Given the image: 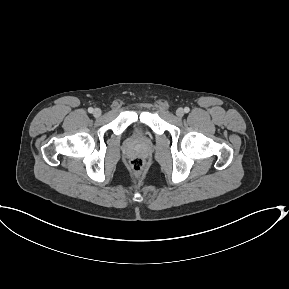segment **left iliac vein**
Masks as SVG:
<instances>
[{"instance_id": "left-iliac-vein-1", "label": "left iliac vein", "mask_w": 289, "mask_h": 289, "mask_svg": "<svg viewBox=\"0 0 289 289\" xmlns=\"http://www.w3.org/2000/svg\"><path fill=\"white\" fill-rule=\"evenodd\" d=\"M176 115L178 116V117H183V115H184V110L182 109V108H178L177 110H176Z\"/></svg>"}]
</instances>
